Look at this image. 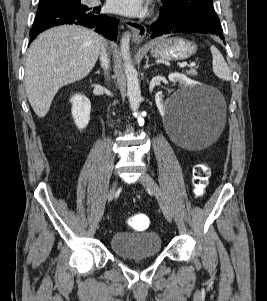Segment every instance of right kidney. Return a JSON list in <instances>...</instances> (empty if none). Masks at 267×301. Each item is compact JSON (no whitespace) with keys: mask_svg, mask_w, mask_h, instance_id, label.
<instances>
[{"mask_svg":"<svg viewBox=\"0 0 267 301\" xmlns=\"http://www.w3.org/2000/svg\"><path fill=\"white\" fill-rule=\"evenodd\" d=\"M72 116L78 129L83 130L90 121L91 103L89 99L81 94L71 98Z\"/></svg>","mask_w":267,"mask_h":301,"instance_id":"obj_1","label":"right kidney"}]
</instances>
